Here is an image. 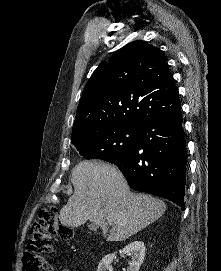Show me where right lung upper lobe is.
Here are the masks:
<instances>
[{"label":"right lung upper lobe","instance_id":"obj_1","mask_svg":"<svg viewBox=\"0 0 221 271\" xmlns=\"http://www.w3.org/2000/svg\"><path fill=\"white\" fill-rule=\"evenodd\" d=\"M180 106L166 59L156 47L137 40L102 62L88 80L71 140L113 126L141 127Z\"/></svg>","mask_w":221,"mask_h":271}]
</instances>
